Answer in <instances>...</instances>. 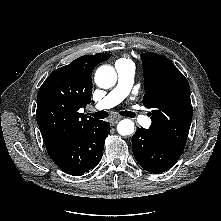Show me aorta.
Returning a JSON list of instances; mask_svg holds the SVG:
<instances>
[{
	"mask_svg": "<svg viewBox=\"0 0 221 221\" xmlns=\"http://www.w3.org/2000/svg\"><path fill=\"white\" fill-rule=\"evenodd\" d=\"M94 79L98 87L108 89L116 84L117 74L112 66L103 65L97 69ZM117 131L122 136L133 134L134 122L130 119L121 120L117 125Z\"/></svg>",
	"mask_w": 221,
	"mask_h": 221,
	"instance_id": "aorta-1",
	"label": "aorta"
}]
</instances>
